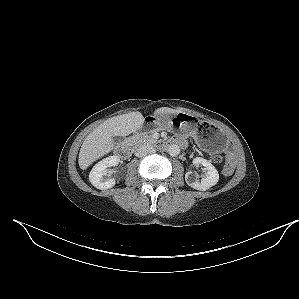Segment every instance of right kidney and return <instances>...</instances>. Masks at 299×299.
Returning a JSON list of instances; mask_svg holds the SVG:
<instances>
[{
    "label": "right kidney",
    "mask_w": 299,
    "mask_h": 299,
    "mask_svg": "<svg viewBox=\"0 0 299 299\" xmlns=\"http://www.w3.org/2000/svg\"><path fill=\"white\" fill-rule=\"evenodd\" d=\"M120 162L118 156H109L99 161L89 174L91 184L100 190L112 188L115 185L114 178H106L109 176L108 167L117 166Z\"/></svg>",
    "instance_id": "right-kidney-1"
}]
</instances>
